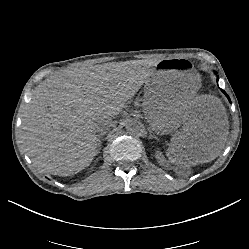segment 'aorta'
Returning <instances> with one entry per match:
<instances>
[{
  "mask_svg": "<svg viewBox=\"0 0 249 249\" xmlns=\"http://www.w3.org/2000/svg\"><path fill=\"white\" fill-rule=\"evenodd\" d=\"M126 130L131 135H139L143 130V125L136 119H129L126 122Z\"/></svg>",
  "mask_w": 249,
  "mask_h": 249,
  "instance_id": "1",
  "label": "aorta"
}]
</instances>
